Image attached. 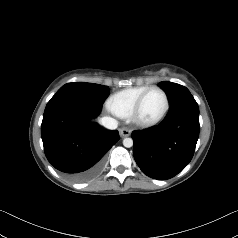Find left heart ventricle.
I'll list each match as a JSON object with an SVG mask.
<instances>
[{
    "label": "left heart ventricle",
    "instance_id": "1",
    "mask_svg": "<svg viewBox=\"0 0 238 238\" xmlns=\"http://www.w3.org/2000/svg\"><path fill=\"white\" fill-rule=\"evenodd\" d=\"M164 107L165 98L163 94L158 90H154L150 92L145 98L139 113V117L145 121L154 120L160 116L164 110Z\"/></svg>",
    "mask_w": 238,
    "mask_h": 238
}]
</instances>
